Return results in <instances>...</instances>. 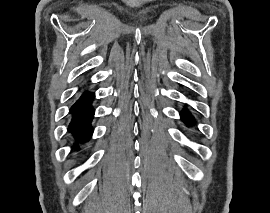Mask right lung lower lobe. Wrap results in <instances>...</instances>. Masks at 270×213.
<instances>
[{"label": "right lung lower lobe", "mask_w": 270, "mask_h": 213, "mask_svg": "<svg viewBox=\"0 0 270 213\" xmlns=\"http://www.w3.org/2000/svg\"><path fill=\"white\" fill-rule=\"evenodd\" d=\"M94 97L93 93L84 92L70 109L72 119L69 125V132L73 134L74 139L78 143L88 141L93 133L91 120L94 115V109L91 103ZM74 147L77 148V144H74Z\"/></svg>", "instance_id": "right-lung-lower-lobe-1"}]
</instances>
